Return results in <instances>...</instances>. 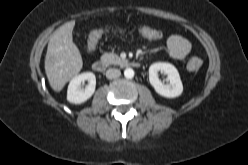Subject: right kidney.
Masks as SVG:
<instances>
[{
  "instance_id": "obj_1",
  "label": "right kidney",
  "mask_w": 248,
  "mask_h": 165,
  "mask_svg": "<svg viewBox=\"0 0 248 165\" xmlns=\"http://www.w3.org/2000/svg\"><path fill=\"white\" fill-rule=\"evenodd\" d=\"M88 81L85 89L81 88V83ZM96 77L92 72L81 73L70 81L67 90V100L73 104H81L87 101L95 92Z\"/></svg>"
}]
</instances>
